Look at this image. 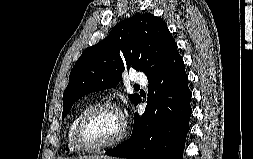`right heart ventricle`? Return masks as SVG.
I'll list each match as a JSON object with an SVG mask.
<instances>
[{"mask_svg":"<svg viewBox=\"0 0 253 159\" xmlns=\"http://www.w3.org/2000/svg\"><path fill=\"white\" fill-rule=\"evenodd\" d=\"M90 106V104H85L83 105L80 109H78L75 114L72 116L70 119V122L67 127V132H66V142L68 145V148L70 151L76 152L79 151L80 149L75 145L74 143V128L75 125L82 115V113Z\"/></svg>","mask_w":253,"mask_h":159,"instance_id":"obj_1","label":"right heart ventricle"}]
</instances>
